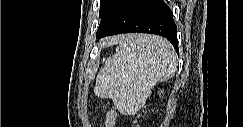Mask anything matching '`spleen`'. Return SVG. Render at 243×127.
I'll use <instances>...</instances> for the list:
<instances>
[{
	"label": "spleen",
	"instance_id": "obj_1",
	"mask_svg": "<svg viewBox=\"0 0 243 127\" xmlns=\"http://www.w3.org/2000/svg\"><path fill=\"white\" fill-rule=\"evenodd\" d=\"M177 68L172 45L152 35L129 36L109 57L96 78L94 93L111 98L121 113L138 110L159 81L169 79Z\"/></svg>",
	"mask_w": 243,
	"mask_h": 127
}]
</instances>
